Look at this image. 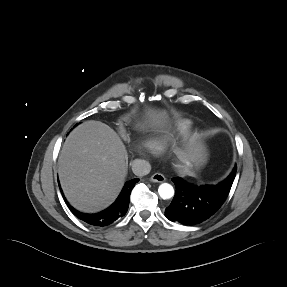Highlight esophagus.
Instances as JSON below:
<instances>
[{
	"instance_id": "1",
	"label": "esophagus",
	"mask_w": 287,
	"mask_h": 287,
	"mask_svg": "<svg viewBox=\"0 0 287 287\" xmlns=\"http://www.w3.org/2000/svg\"><path fill=\"white\" fill-rule=\"evenodd\" d=\"M150 179L152 182H157V183H162L165 181V177L161 173L153 174Z\"/></svg>"
}]
</instances>
